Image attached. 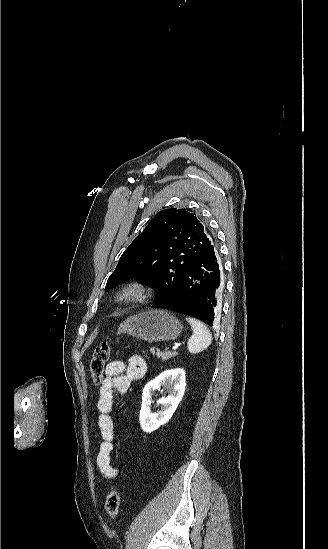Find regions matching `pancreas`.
Instances as JSON below:
<instances>
[{
    "label": "pancreas",
    "mask_w": 328,
    "mask_h": 549,
    "mask_svg": "<svg viewBox=\"0 0 328 549\" xmlns=\"http://www.w3.org/2000/svg\"><path fill=\"white\" fill-rule=\"evenodd\" d=\"M152 355H157L158 359H162V361H168V359H173V357H176L178 353L176 351H165V353H162L160 349H157L156 353L154 349L151 351Z\"/></svg>",
    "instance_id": "1"
}]
</instances>
